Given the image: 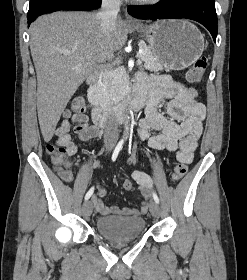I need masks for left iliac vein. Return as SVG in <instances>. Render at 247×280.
<instances>
[{
  "mask_svg": "<svg viewBox=\"0 0 247 280\" xmlns=\"http://www.w3.org/2000/svg\"><path fill=\"white\" fill-rule=\"evenodd\" d=\"M150 212L154 217H158L160 215V207L156 202L151 203Z\"/></svg>",
  "mask_w": 247,
  "mask_h": 280,
  "instance_id": "1",
  "label": "left iliac vein"
}]
</instances>
